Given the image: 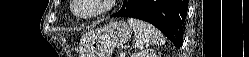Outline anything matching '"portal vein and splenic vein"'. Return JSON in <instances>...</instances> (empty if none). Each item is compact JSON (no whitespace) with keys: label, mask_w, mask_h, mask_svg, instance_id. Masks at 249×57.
<instances>
[{"label":"portal vein and splenic vein","mask_w":249,"mask_h":57,"mask_svg":"<svg viewBox=\"0 0 249 57\" xmlns=\"http://www.w3.org/2000/svg\"><path fill=\"white\" fill-rule=\"evenodd\" d=\"M120 57H125V53L121 52Z\"/></svg>","instance_id":"18ae733b"}]
</instances>
